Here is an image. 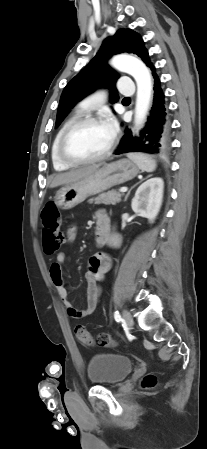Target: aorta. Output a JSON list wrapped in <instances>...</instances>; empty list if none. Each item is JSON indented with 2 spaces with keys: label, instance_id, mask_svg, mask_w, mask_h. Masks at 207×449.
Returning a JSON list of instances; mask_svg holds the SVG:
<instances>
[{
  "label": "aorta",
  "instance_id": "1",
  "mask_svg": "<svg viewBox=\"0 0 207 449\" xmlns=\"http://www.w3.org/2000/svg\"><path fill=\"white\" fill-rule=\"evenodd\" d=\"M111 65L121 72L130 74L136 81L135 123L140 125L146 117L151 101L152 79L150 71L141 60L129 55L113 57Z\"/></svg>",
  "mask_w": 207,
  "mask_h": 449
}]
</instances>
